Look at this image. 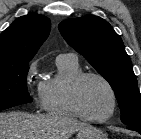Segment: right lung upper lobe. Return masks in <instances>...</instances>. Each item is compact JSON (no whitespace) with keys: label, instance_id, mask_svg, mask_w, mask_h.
Here are the masks:
<instances>
[{"label":"right lung upper lobe","instance_id":"cb5924a9","mask_svg":"<svg viewBox=\"0 0 141 139\" xmlns=\"http://www.w3.org/2000/svg\"><path fill=\"white\" fill-rule=\"evenodd\" d=\"M50 20L36 13L16 19L0 35V65L29 63L50 32Z\"/></svg>","mask_w":141,"mask_h":139}]
</instances>
